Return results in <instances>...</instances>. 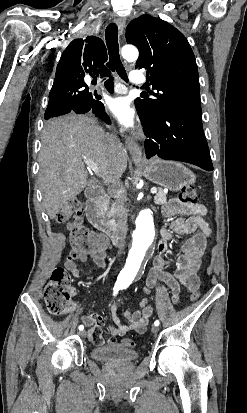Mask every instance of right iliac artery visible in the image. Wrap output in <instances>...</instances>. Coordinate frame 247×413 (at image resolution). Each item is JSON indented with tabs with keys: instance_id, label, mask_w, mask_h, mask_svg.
<instances>
[{
	"instance_id": "1",
	"label": "right iliac artery",
	"mask_w": 247,
	"mask_h": 413,
	"mask_svg": "<svg viewBox=\"0 0 247 413\" xmlns=\"http://www.w3.org/2000/svg\"><path fill=\"white\" fill-rule=\"evenodd\" d=\"M121 289H122V286H120V285H118V284H115V286H114V288H113V290H114V293H113L114 296L117 295V294H118V291L121 290ZM83 329H84V326H83V325H80V326H79V330L82 331Z\"/></svg>"
}]
</instances>
